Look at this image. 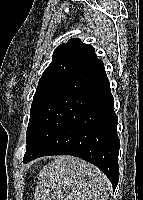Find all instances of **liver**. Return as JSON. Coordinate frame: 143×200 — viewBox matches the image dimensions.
Returning <instances> with one entry per match:
<instances>
[{
    "mask_svg": "<svg viewBox=\"0 0 143 200\" xmlns=\"http://www.w3.org/2000/svg\"><path fill=\"white\" fill-rule=\"evenodd\" d=\"M111 183L94 165L77 157L54 158L39 173L35 200H108Z\"/></svg>",
    "mask_w": 143,
    "mask_h": 200,
    "instance_id": "liver-1",
    "label": "liver"
}]
</instances>
